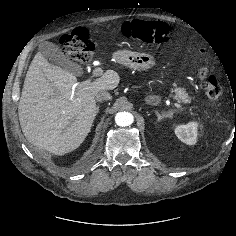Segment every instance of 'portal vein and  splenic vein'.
Segmentation results:
<instances>
[{"instance_id":"portal-vein-and-splenic-vein-1","label":"portal vein and splenic vein","mask_w":236,"mask_h":236,"mask_svg":"<svg viewBox=\"0 0 236 236\" xmlns=\"http://www.w3.org/2000/svg\"><path fill=\"white\" fill-rule=\"evenodd\" d=\"M103 74V70L101 69V68H96V69H94V71H93V76H101ZM87 82H90V80H87V81H85V83H87ZM78 84H76L75 86H77ZM74 86V87H75ZM175 105V107H177V108H181L182 106L180 105V104H178V103H175L174 104Z\"/></svg>"}]
</instances>
